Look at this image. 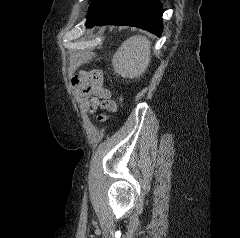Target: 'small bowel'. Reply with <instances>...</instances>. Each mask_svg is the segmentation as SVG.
Instances as JSON below:
<instances>
[{"label":"small bowel","mask_w":240,"mask_h":238,"mask_svg":"<svg viewBox=\"0 0 240 238\" xmlns=\"http://www.w3.org/2000/svg\"><path fill=\"white\" fill-rule=\"evenodd\" d=\"M73 85L77 91L88 98L93 110L98 108L115 112L117 104L111 99V92L102 85V76L99 71L82 73L80 76L73 78ZM100 120L105 116H99Z\"/></svg>","instance_id":"small-bowel-1"}]
</instances>
